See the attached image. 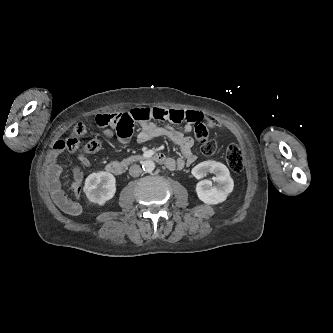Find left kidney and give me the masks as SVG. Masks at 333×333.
Instances as JSON below:
<instances>
[{"label": "left kidney", "instance_id": "left-kidney-1", "mask_svg": "<svg viewBox=\"0 0 333 333\" xmlns=\"http://www.w3.org/2000/svg\"><path fill=\"white\" fill-rule=\"evenodd\" d=\"M208 173L215 174L213 180L217 185L213 186L210 180H202L197 183L196 192L202 202L215 205L226 200L233 190L234 182L228 168L220 162L204 161L192 169V174L197 179L205 177Z\"/></svg>", "mask_w": 333, "mask_h": 333}]
</instances>
